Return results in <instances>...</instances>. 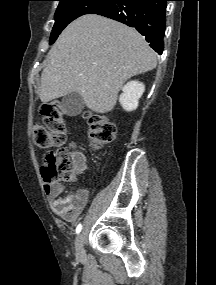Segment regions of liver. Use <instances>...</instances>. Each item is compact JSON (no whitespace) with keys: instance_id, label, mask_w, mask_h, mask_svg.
Returning a JSON list of instances; mask_svg holds the SVG:
<instances>
[{"instance_id":"6515ba94","label":"liver","mask_w":216,"mask_h":285,"mask_svg":"<svg viewBox=\"0 0 216 285\" xmlns=\"http://www.w3.org/2000/svg\"><path fill=\"white\" fill-rule=\"evenodd\" d=\"M156 65L155 53L135 29L87 14L70 23L49 51L40 100L77 92L89 109L106 113L127 79Z\"/></svg>"}]
</instances>
